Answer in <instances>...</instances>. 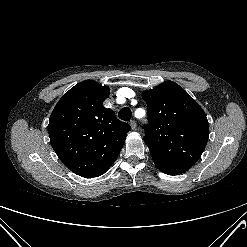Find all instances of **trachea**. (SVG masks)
I'll list each match as a JSON object with an SVG mask.
<instances>
[{
	"label": "trachea",
	"mask_w": 247,
	"mask_h": 247,
	"mask_svg": "<svg viewBox=\"0 0 247 247\" xmlns=\"http://www.w3.org/2000/svg\"><path fill=\"white\" fill-rule=\"evenodd\" d=\"M131 115V110L128 107L122 108L118 113L119 118L124 121H130Z\"/></svg>",
	"instance_id": "obj_1"
}]
</instances>
